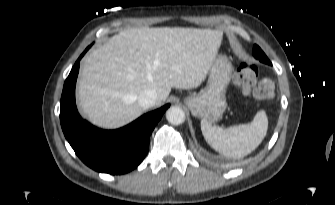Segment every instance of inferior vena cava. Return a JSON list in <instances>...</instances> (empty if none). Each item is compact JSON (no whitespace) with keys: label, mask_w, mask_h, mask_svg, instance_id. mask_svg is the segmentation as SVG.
Wrapping results in <instances>:
<instances>
[{"label":"inferior vena cava","mask_w":335,"mask_h":205,"mask_svg":"<svg viewBox=\"0 0 335 205\" xmlns=\"http://www.w3.org/2000/svg\"><path fill=\"white\" fill-rule=\"evenodd\" d=\"M157 92L155 89H147L144 92H142L138 97V103L141 107L144 109L150 108L155 105L157 100Z\"/></svg>","instance_id":"obj_1"}]
</instances>
